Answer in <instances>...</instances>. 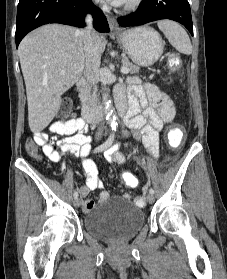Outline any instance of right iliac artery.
Listing matches in <instances>:
<instances>
[{"label": "right iliac artery", "instance_id": "right-iliac-artery-1", "mask_svg": "<svg viewBox=\"0 0 227 279\" xmlns=\"http://www.w3.org/2000/svg\"><path fill=\"white\" fill-rule=\"evenodd\" d=\"M113 140H114V133L110 134L109 138L101 145H99L98 147H96L94 149V153H97V152H102L104 150H106L109 146H111V144L113 143ZM74 198H78V192H74Z\"/></svg>", "mask_w": 227, "mask_h": 279}]
</instances>
